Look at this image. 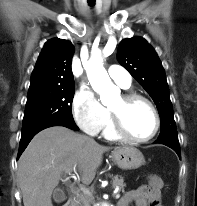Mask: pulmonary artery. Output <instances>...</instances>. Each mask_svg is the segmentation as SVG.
<instances>
[{
	"label": "pulmonary artery",
	"instance_id": "e3ab8cb5",
	"mask_svg": "<svg viewBox=\"0 0 197 206\" xmlns=\"http://www.w3.org/2000/svg\"><path fill=\"white\" fill-rule=\"evenodd\" d=\"M110 78L123 88H129L131 86L130 74L120 65H111L108 69Z\"/></svg>",
	"mask_w": 197,
	"mask_h": 206
}]
</instances>
